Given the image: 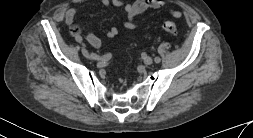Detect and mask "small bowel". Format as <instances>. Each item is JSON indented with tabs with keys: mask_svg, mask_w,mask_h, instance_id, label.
<instances>
[{
	"mask_svg": "<svg viewBox=\"0 0 253 138\" xmlns=\"http://www.w3.org/2000/svg\"><path fill=\"white\" fill-rule=\"evenodd\" d=\"M102 4L105 6L121 7L126 12V20L124 22V27L128 30H134L138 26L135 22V18L144 13L148 9H159L165 6V0H135L132 3L125 2L123 0H101ZM170 15L175 18L182 17V12L176 9H171L169 11ZM77 15V10L75 8H70L65 13L66 23L73 28L75 26V18ZM119 29L117 27H111L107 33V38H115L119 34ZM80 40L81 37L77 36ZM87 42L94 48H100L102 46V39L93 32H88L86 34Z\"/></svg>",
	"mask_w": 253,
	"mask_h": 138,
	"instance_id": "c3829d8e",
	"label": "small bowel"
}]
</instances>
